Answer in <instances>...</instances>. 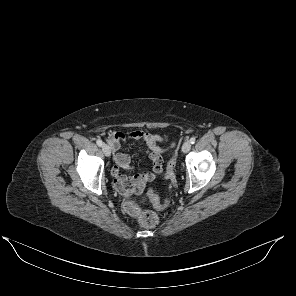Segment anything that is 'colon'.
I'll use <instances>...</instances> for the list:
<instances>
[{
    "label": "colon",
    "mask_w": 296,
    "mask_h": 296,
    "mask_svg": "<svg viewBox=\"0 0 296 296\" xmlns=\"http://www.w3.org/2000/svg\"><path fill=\"white\" fill-rule=\"evenodd\" d=\"M175 158L171 159L168 165L167 173L170 175L175 166ZM148 198L156 209H162L165 205L159 200L154 192L149 191ZM125 211L131 216L135 217L139 224L143 227L151 228L157 225L159 218L158 215L149 210H142L139 204L133 201H128L124 205Z\"/></svg>",
    "instance_id": "5ec220e1"
}]
</instances>
